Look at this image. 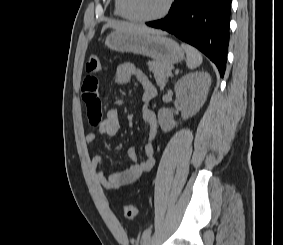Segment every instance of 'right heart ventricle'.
Segmentation results:
<instances>
[{
    "label": "right heart ventricle",
    "mask_w": 283,
    "mask_h": 245,
    "mask_svg": "<svg viewBox=\"0 0 283 245\" xmlns=\"http://www.w3.org/2000/svg\"><path fill=\"white\" fill-rule=\"evenodd\" d=\"M115 14L123 19H130L126 14L123 6V0H115L114 3Z\"/></svg>",
    "instance_id": "right-heart-ventricle-1"
}]
</instances>
